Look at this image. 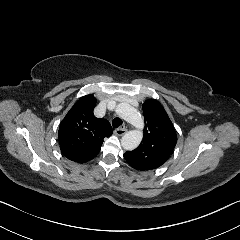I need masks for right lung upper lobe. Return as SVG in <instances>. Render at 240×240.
<instances>
[{"label":"right lung upper lobe","mask_w":240,"mask_h":240,"mask_svg":"<svg viewBox=\"0 0 240 240\" xmlns=\"http://www.w3.org/2000/svg\"><path fill=\"white\" fill-rule=\"evenodd\" d=\"M96 98L86 95L69 110L59 126L60 149L68 159L85 163L100 151L103 139L112 135L110 123L93 114Z\"/></svg>","instance_id":"right-lung-upper-lobe-1"}]
</instances>
